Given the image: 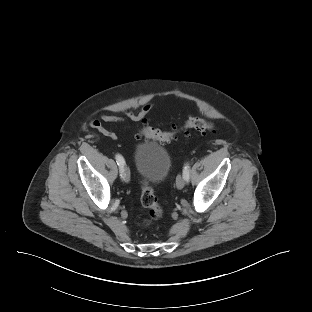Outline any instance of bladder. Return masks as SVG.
Wrapping results in <instances>:
<instances>
[{
  "instance_id": "bladder-1",
  "label": "bladder",
  "mask_w": 312,
  "mask_h": 312,
  "mask_svg": "<svg viewBox=\"0 0 312 312\" xmlns=\"http://www.w3.org/2000/svg\"><path fill=\"white\" fill-rule=\"evenodd\" d=\"M134 161L138 174L154 184L165 180L171 166V158L165 147L148 142L136 145Z\"/></svg>"
}]
</instances>
